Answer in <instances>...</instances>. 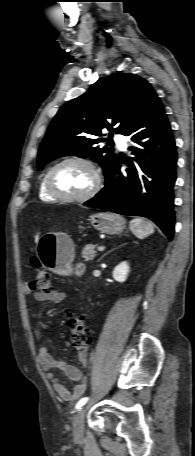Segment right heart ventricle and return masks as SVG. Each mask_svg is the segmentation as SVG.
<instances>
[{"instance_id":"e07e8e85","label":"right heart ventricle","mask_w":195,"mask_h":456,"mask_svg":"<svg viewBox=\"0 0 195 456\" xmlns=\"http://www.w3.org/2000/svg\"><path fill=\"white\" fill-rule=\"evenodd\" d=\"M38 193H39L40 199L43 200V201L52 202V201L55 200V198H53L47 192V190L45 188V175L41 178V180L39 182Z\"/></svg>"}]
</instances>
